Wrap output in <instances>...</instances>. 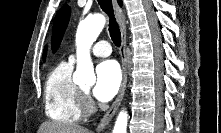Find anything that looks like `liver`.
I'll list each match as a JSON object with an SVG mask.
<instances>
[{"mask_svg": "<svg viewBox=\"0 0 221 133\" xmlns=\"http://www.w3.org/2000/svg\"><path fill=\"white\" fill-rule=\"evenodd\" d=\"M38 133H91V132L83 127L66 125L57 122H45L40 126Z\"/></svg>", "mask_w": 221, "mask_h": 133, "instance_id": "liver-1", "label": "liver"}]
</instances>
